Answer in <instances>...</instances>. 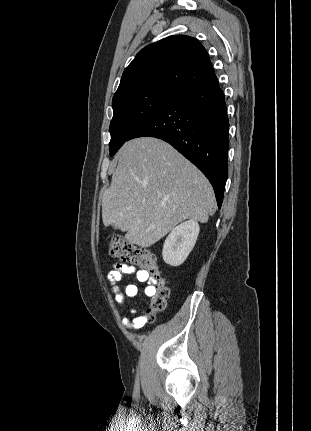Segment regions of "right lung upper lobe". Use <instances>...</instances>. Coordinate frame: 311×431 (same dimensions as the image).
Wrapping results in <instances>:
<instances>
[{"instance_id": "1", "label": "right lung upper lobe", "mask_w": 311, "mask_h": 431, "mask_svg": "<svg viewBox=\"0 0 311 431\" xmlns=\"http://www.w3.org/2000/svg\"><path fill=\"white\" fill-rule=\"evenodd\" d=\"M216 79L203 45L193 37L173 35L136 55L124 70L114 97L148 88L181 95Z\"/></svg>"}]
</instances>
